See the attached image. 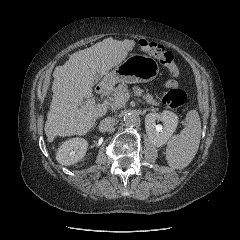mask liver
<instances>
[{"mask_svg":"<svg viewBox=\"0 0 240 240\" xmlns=\"http://www.w3.org/2000/svg\"><path fill=\"white\" fill-rule=\"evenodd\" d=\"M134 45V40L107 38L73 53L64 65L55 68L53 96L44 128L48 142L56 136L85 135L105 115L108 107L104 104L84 111L79 107L85 98L91 97L97 74L107 75L125 60Z\"/></svg>","mask_w":240,"mask_h":240,"instance_id":"1","label":"liver"}]
</instances>
